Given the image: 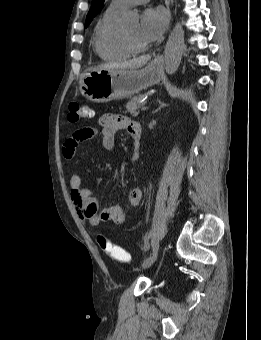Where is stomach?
Instances as JSON below:
<instances>
[{"label":"stomach","mask_w":261,"mask_h":340,"mask_svg":"<svg viewBox=\"0 0 261 340\" xmlns=\"http://www.w3.org/2000/svg\"><path fill=\"white\" fill-rule=\"evenodd\" d=\"M162 69V62L153 60L143 69L91 70L82 75L80 92L85 98L99 103L131 97L158 84Z\"/></svg>","instance_id":"obj_1"}]
</instances>
